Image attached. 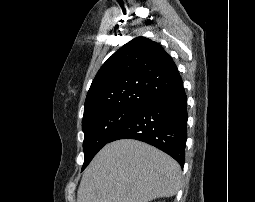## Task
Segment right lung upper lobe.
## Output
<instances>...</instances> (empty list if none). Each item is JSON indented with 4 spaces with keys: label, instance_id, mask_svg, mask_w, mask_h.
I'll return each mask as SVG.
<instances>
[{
    "label": "right lung upper lobe",
    "instance_id": "right-lung-upper-lobe-1",
    "mask_svg": "<svg viewBox=\"0 0 255 202\" xmlns=\"http://www.w3.org/2000/svg\"><path fill=\"white\" fill-rule=\"evenodd\" d=\"M181 86L177 66L162 46L136 37L98 71L87 93L84 116L114 107H141Z\"/></svg>",
    "mask_w": 255,
    "mask_h": 202
}]
</instances>
